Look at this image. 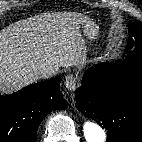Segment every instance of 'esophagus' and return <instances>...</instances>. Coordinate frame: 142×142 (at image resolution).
<instances>
[{"label": "esophagus", "mask_w": 142, "mask_h": 142, "mask_svg": "<svg viewBox=\"0 0 142 142\" xmlns=\"http://www.w3.org/2000/svg\"><path fill=\"white\" fill-rule=\"evenodd\" d=\"M77 84H78L77 77H75L72 74L66 76L65 86H66L67 89L73 91V90L76 89Z\"/></svg>", "instance_id": "esophagus-1"}]
</instances>
